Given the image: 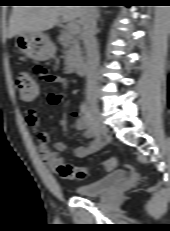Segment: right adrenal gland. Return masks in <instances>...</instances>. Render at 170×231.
Masks as SVG:
<instances>
[{"mask_svg":"<svg viewBox=\"0 0 170 231\" xmlns=\"http://www.w3.org/2000/svg\"><path fill=\"white\" fill-rule=\"evenodd\" d=\"M99 19H100V12L97 11V20H99Z\"/></svg>","mask_w":170,"mask_h":231,"instance_id":"right-adrenal-gland-1","label":"right adrenal gland"}]
</instances>
